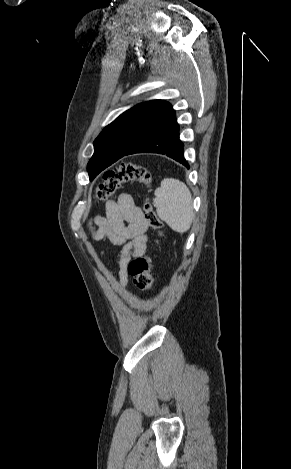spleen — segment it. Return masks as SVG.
<instances>
[{"mask_svg":"<svg viewBox=\"0 0 291 469\" xmlns=\"http://www.w3.org/2000/svg\"><path fill=\"white\" fill-rule=\"evenodd\" d=\"M153 204L161 220L178 232H187L192 224L194 211L190 190L176 179L165 178L155 190Z\"/></svg>","mask_w":291,"mask_h":469,"instance_id":"obj_1","label":"spleen"}]
</instances>
